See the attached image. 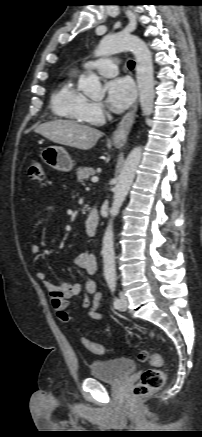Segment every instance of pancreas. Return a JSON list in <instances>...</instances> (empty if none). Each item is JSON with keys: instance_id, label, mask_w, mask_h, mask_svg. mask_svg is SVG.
I'll return each mask as SVG.
<instances>
[{"instance_id": "cf45deb5", "label": "pancreas", "mask_w": 202, "mask_h": 437, "mask_svg": "<svg viewBox=\"0 0 202 437\" xmlns=\"http://www.w3.org/2000/svg\"><path fill=\"white\" fill-rule=\"evenodd\" d=\"M95 174V170L91 167H82L77 169L78 181L83 183L92 175Z\"/></svg>"}]
</instances>
